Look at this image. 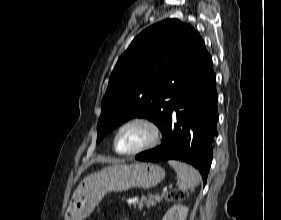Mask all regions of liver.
<instances>
[{
  "label": "liver",
  "instance_id": "6515ba94",
  "mask_svg": "<svg viewBox=\"0 0 281 220\" xmlns=\"http://www.w3.org/2000/svg\"><path fill=\"white\" fill-rule=\"evenodd\" d=\"M103 161H106V162H110L112 163L113 165H118L120 163H123V161H120V160H111V159H103ZM93 162V161H92Z\"/></svg>",
  "mask_w": 281,
  "mask_h": 220
}]
</instances>
